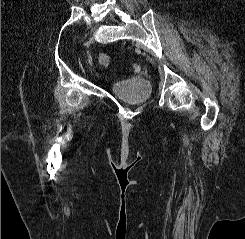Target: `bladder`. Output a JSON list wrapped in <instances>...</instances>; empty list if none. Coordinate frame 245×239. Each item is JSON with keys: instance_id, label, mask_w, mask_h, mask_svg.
Segmentation results:
<instances>
[{"instance_id": "obj_1", "label": "bladder", "mask_w": 245, "mask_h": 239, "mask_svg": "<svg viewBox=\"0 0 245 239\" xmlns=\"http://www.w3.org/2000/svg\"><path fill=\"white\" fill-rule=\"evenodd\" d=\"M111 92L129 103L143 104L150 99L152 86L136 79L120 80L109 85Z\"/></svg>"}]
</instances>
